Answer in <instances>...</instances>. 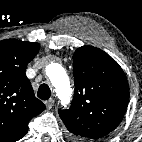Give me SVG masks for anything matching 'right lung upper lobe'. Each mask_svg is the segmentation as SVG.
<instances>
[{
	"label": "right lung upper lobe",
	"mask_w": 142,
	"mask_h": 142,
	"mask_svg": "<svg viewBox=\"0 0 142 142\" xmlns=\"http://www.w3.org/2000/svg\"><path fill=\"white\" fill-rule=\"evenodd\" d=\"M39 48L38 43L17 39L0 41V142L21 139L29 121L45 109L25 73Z\"/></svg>",
	"instance_id": "obj_1"
}]
</instances>
